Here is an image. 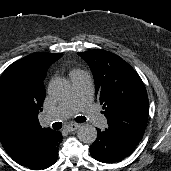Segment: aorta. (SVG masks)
<instances>
[{
  "instance_id": "obj_1",
  "label": "aorta",
  "mask_w": 171,
  "mask_h": 171,
  "mask_svg": "<svg viewBox=\"0 0 171 171\" xmlns=\"http://www.w3.org/2000/svg\"><path fill=\"white\" fill-rule=\"evenodd\" d=\"M70 88L66 79L56 78L49 83L48 93L52 98L61 100L69 94ZM77 136L81 142L92 144L97 138V130L90 124H84L78 129Z\"/></svg>"
}]
</instances>
